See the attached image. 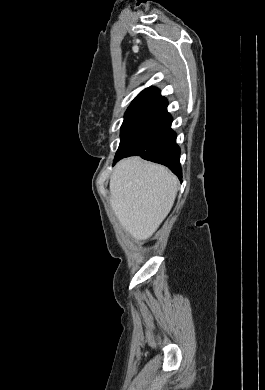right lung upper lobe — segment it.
I'll list each match as a JSON object with an SVG mask.
<instances>
[{
  "instance_id": "obj_1",
  "label": "right lung upper lobe",
  "mask_w": 265,
  "mask_h": 390,
  "mask_svg": "<svg viewBox=\"0 0 265 390\" xmlns=\"http://www.w3.org/2000/svg\"><path fill=\"white\" fill-rule=\"evenodd\" d=\"M162 98L160 94V90L154 87L151 88H146L142 92H140L134 100L137 99H143V100H151V101H156L158 99Z\"/></svg>"
}]
</instances>
